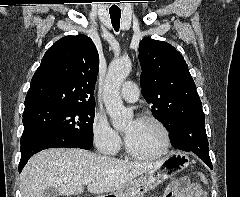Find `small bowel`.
<instances>
[{
    "label": "small bowel",
    "mask_w": 240,
    "mask_h": 197,
    "mask_svg": "<svg viewBox=\"0 0 240 197\" xmlns=\"http://www.w3.org/2000/svg\"><path fill=\"white\" fill-rule=\"evenodd\" d=\"M165 197H207V194L199 185L184 180L171 186Z\"/></svg>",
    "instance_id": "1"
}]
</instances>
